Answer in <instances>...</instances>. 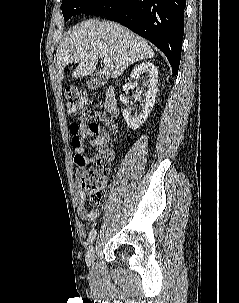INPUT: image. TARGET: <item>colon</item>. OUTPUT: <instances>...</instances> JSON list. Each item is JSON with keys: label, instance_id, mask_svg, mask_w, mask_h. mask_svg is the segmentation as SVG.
<instances>
[{"label": "colon", "instance_id": "colon-1", "mask_svg": "<svg viewBox=\"0 0 239 303\" xmlns=\"http://www.w3.org/2000/svg\"><path fill=\"white\" fill-rule=\"evenodd\" d=\"M66 109L69 115L89 119L91 121L106 120L104 111H90L89 97L77 88H68L65 92ZM96 170L86 171L80 178V185L88 203L100 206L105 202L106 190L104 174L108 170V162L100 160L96 162Z\"/></svg>", "mask_w": 239, "mask_h": 303}]
</instances>
